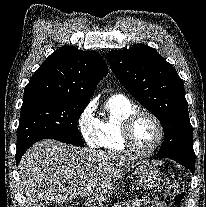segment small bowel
Returning a JSON list of instances; mask_svg holds the SVG:
<instances>
[{"label": "small bowel", "mask_w": 206, "mask_h": 207, "mask_svg": "<svg viewBox=\"0 0 206 207\" xmlns=\"http://www.w3.org/2000/svg\"><path fill=\"white\" fill-rule=\"evenodd\" d=\"M146 205H149L150 207H167V204L162 199L149 196H143L126 203H120L115 207H144Z\"/></svg>", "instance_id": "c3829d8e"}]
</instances>
